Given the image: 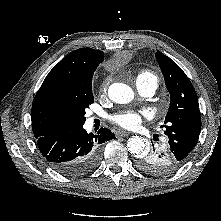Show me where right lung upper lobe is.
<instances>
[{"label":"right lung upper lobe","instance_id":"obj_1","mask_svg":"<svg viewBox=\"0 0 221 221\" xmlns=\"http://www.w3.org/2000/svg\"><path fill=\"white\" fill-rule=\"evenodd\" d=\"M104 53L91 48L70 52L46 76L32 105V130L36 139L62 135L74 129L58 108L61 98L71 95L83 77L95 71Z\"/></svg>","mask_w":221,"mask_h":221}]
</instances>
